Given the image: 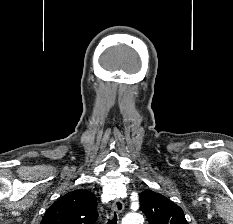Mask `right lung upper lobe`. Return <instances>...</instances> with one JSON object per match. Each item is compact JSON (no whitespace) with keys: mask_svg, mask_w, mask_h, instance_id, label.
Instances as JSON below:
<instances>
[{"mask_svg":"<svg viewBox=\"0 0 233 224\" xmlns=\"http://www.w3.org/2000/svg\"><path fill=\"white\" fill-rule=\"evenodd\" d=\"M97 201L88 190H75L54 202L40 224H95Z\"/></svg>","mask_w":233,"mask_h":224,"instance_id":"right-lung-upper-lobe-1","label":"right lung upper lobe"}]
</instances>
